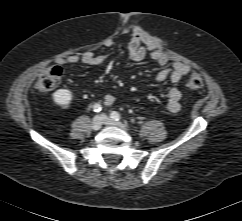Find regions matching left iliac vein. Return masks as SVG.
I'll list each match as a JSON object with an SVG mask.
<instances>
[{
	"mask_svg": "<svg viewBox=\"0 0 242 221\" xmlns=\"http://www.w3.org/2000/svg\"><path fill=\"white\" fill-rule=\"evenodd\" d=\"M100 117L102 118V121L105 125L116 126L123 130H126V126L123 123L114 121V120L110 119L109 117H107L105 114H102Z\"/></svg>",
	"mask_w": 242,
	"mask_h": 221,
	"instance_id": "4c4485c4",
	"label": "left iliac vein"
}]
</instances>
